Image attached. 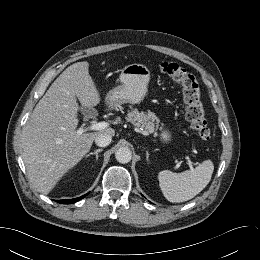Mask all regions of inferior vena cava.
I'll return each instance as SVG.
<instances>
[{
  "mask_svg": "<svg viewBox=\"0 0 260 260\" xmlns=\"http://www.w3.org/2000/svg\"><path fill=\"white\" fill-rule=\"evenodd\" d=\"M112 136L107 133H101L95 138V143L99 147H106L111 143Z\"/></svg>",
  "mask_w": 260,
  "mask_h": 260,
  "instance_id": "1",
  "label": "inferior vena cava"
}]
</instances>
